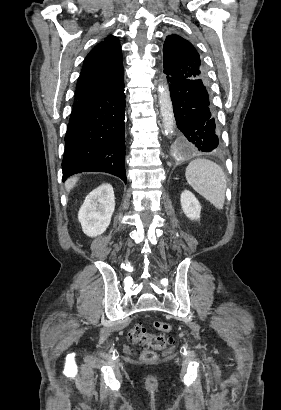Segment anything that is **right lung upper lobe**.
Returning a JSON list of instances; mask_svg holds the SVG:
<instances>
[{"instance_id":"right-lung-upper-lobe-1","label":"right lung upper lobe","mask_w":281,"mask_h":410,"mask_svg":"<svg viewBox=\"0 0 281 410\" xmlns=\"http://www.w3.org/2000/svg\"><path fill=\"white\" fill-rule=\"evenodd\" d=\"M123 82V62L119 40L108 36L84 60L77 81L75 100L90 97Z\"/></svg>"}]
</instances>
